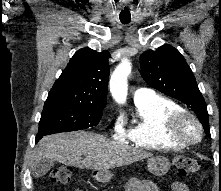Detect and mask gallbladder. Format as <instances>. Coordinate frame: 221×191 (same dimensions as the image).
<instances>
[{
  "label": "gallbladder",
  "instance_id": "gallbladder-1",
  "mask_svg": "<svg viewBox=\"0 0 221 191\" xmlns=\"http://www.w3.org/2000/svg\"><path fill=\"white\" fill-rule=\"evenodd\" d=\"M54 166V161L51 159H42L35 163L32 168V174L34 177L39 178L44 176Z\"/></svg>",
  "mask_w": 221,
  "mask_h": 191
}]
</instances>
